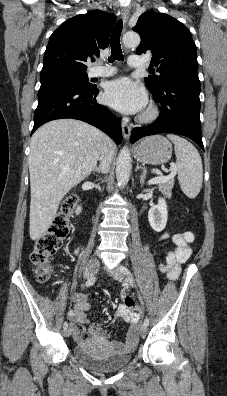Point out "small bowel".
I'll return each mask as SVG.
<instances>
[{
  "instance_id": "small-bowel-1",
  "label": "small bowel",
  "mask_w": 227,
  "mask_h": 396,
  "mask_svg": "<svg viewBox=\"0 0 227 396\" xmlns=\"http://www.w3.org/2000/svg\"><path fill=\"white\" fill-rule=\"evenodd\" d=\"M161 239L171 238L175 244L166 256L165 263L161 265V270L166 272L168 279L175 280L178 278L181 265L190 257L192 253L191 244L194 236L191 232L185 231L171 234L164 233ZM75 304L70 311L69 316L77 323L74 330V339L78 343L93 342L97 344H110L116 349L134 347L138 341L137 325L140 315L137 308L129 307L125 304V299L129 296L122 294L123 303L117 308L116 316L130 324L129 331L123 343L110 340V333L101 328L96 323H91L86 317V312L90 309L88 298L83 293H74L72 296Z\"/></svg>"
}]
</instances>
